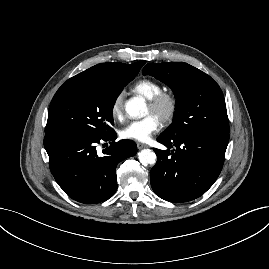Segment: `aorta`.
Segmentation results:
<instances>
[{
	"mask_svg": "<svg viewBox=\"0 0 269 269\" xmlns=\"http://www.w3.org/2000/svg\"><path fill=\"white\" fill-rule=\"evenodd\" d=\"M126 112L133 118H142L147 114L145 100L141 97L129 99L125 104ZM138 159L144 166L154 165L156 163V155L153 151L144 149L138 153Z\"/></svg>",
	"mask_w": 269,
	"mask_h": 269,
	"instance_id": "obj_1",
	"label": "aorta"
}]
</instances>
